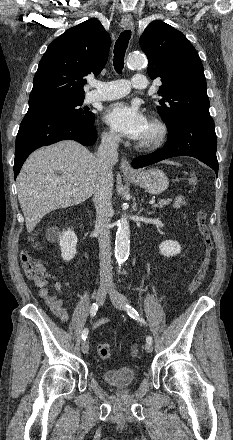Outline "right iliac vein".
<instances>
[{
  "instance_id": "obj_1",
  "label": "right iliac vein",
  "mask_w": 233,
  "mask_h": 440,
  "mask_svg": "<svg viewBox=\"0 0 233 440\" xmlns=\"http://www.w3.org/2000/svg\"><path fill=\"white\" fill-rule=\"evenodd\" d=\"M109 287L107 285H101L97 292L96 301L99 305H102L104 303L106 294L108 292ZM81 350L84 354L88 353L89 351V343L88 341H83L81 344Z\"/></svg>"
}]
</instances>
